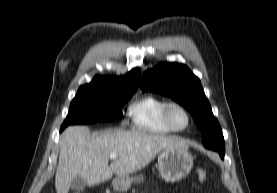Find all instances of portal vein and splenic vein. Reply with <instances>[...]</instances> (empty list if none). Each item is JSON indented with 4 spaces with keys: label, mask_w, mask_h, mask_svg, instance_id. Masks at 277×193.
<instances>
[{
    "label": "portal vein and splenic vein",
    "mask_w": 277,
    "mask_h": 193,
    "mask_svg": "<svg viewBox=\"0 0 277 193\" xmlns=\"http://www.w3.org/2000/svg\"><path fill=\"white\" fill-rule=\"evenodd\" d=\"M117 158V153H111L110 154V159H116Z\"/></svg>",
    "instance_id": "18ae733b"
}]
</instances>
